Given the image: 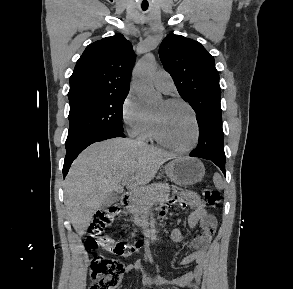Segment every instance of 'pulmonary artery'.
<instances>
[{
	"instance_id": "e3ab8cb5",
	"label": "pulmonary artery",
	"mask_w": 293,
	"mask_h": 289,
	"mask_svg": "<svg viewBox=\"0 0 293 289\" xmlns=\"http://www.w3.org/2000/svg\"><path fill=\"white\" fill-rule=\"evenodd\" d=\"M154 85L157 89L164 93H170L174 89V82L172 77L164 70L156 72L154 77Z\"/></svg>"
}]
</instances>
